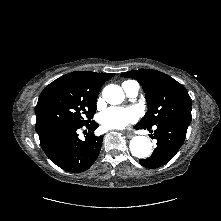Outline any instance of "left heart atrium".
<instances>
[{"label":"left heart atrium","instance_id":"left-heart-atrium-1","mask_svg":"<svg viewBox=\"0 0 221 221\" xmlns=\"http://www.w3.org/2000/svg\"><path fill=\"white\" fill-rule=\"evenodd\" d=\"M137 119L138 113L132 107H110L100 115V123L107 129H122Z\"/></svg>","mask_w":221,"mask_h":221}]
</instances>
